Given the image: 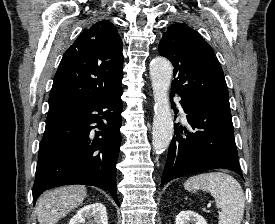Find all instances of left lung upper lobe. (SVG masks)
<instances>
[{
    "label": "left lung upper lobe",
    "instance_id": "1",
    "mask_svg": "<svg viewBox=\"0 0 275 224\" xmlns=\"http://www.w3.org/2000/svg\"><path fill=\"white\" fill-rule=\"evenodd\" d=\"M158 51L174 66L173 93L230 112L223 70L212 47L197 31L184 23L169 26Z\"/></svg>",
    "mask_w": 275,
    "mask_h": 224
}]
</instances>
